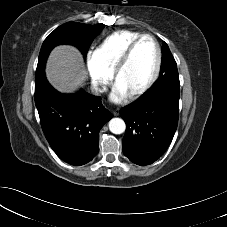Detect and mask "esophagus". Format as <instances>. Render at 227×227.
I'll return each instance as SVG.
<instances>
[{
  "label": "esophagus",
  "mask_w": 227,
  "mask_h": 227,
  "mask_svg": "<svg viewBox=\"0 0 227 227\" xmlns=\"http://www.w3.org/2000/svg\"><path fill=\"white\" fill-rule=\"evenodd\" d=\"M112 113H113L114 116H117L119 114V110L115 109V110L112 111Z\"/></svg>",
  "instance_id": "esophagus-1"
}]
</instances>
